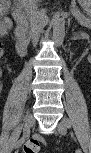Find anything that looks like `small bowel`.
<instances>
[{"mask_svg": "<svg viewBox=\"0 0 91 153\" xmlns=\"http://www.w3.org/2000/svg\"><path fill=\"white\" fill-rule=\"evenodd\" d=\"M0 35H1L2 37H5V36L7 35V30H5L4 28L1 27ZM37 139H40V138H37Z\"/></svg>", "mask_w": 91, "mask_h": 153, "instance_id": "small-bowel-1", "label": "small bowel"}]
</instances>
